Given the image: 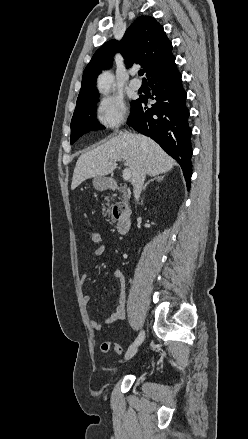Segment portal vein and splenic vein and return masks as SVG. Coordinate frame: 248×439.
<instances>
[{"mask_svg": "<svg viewBox=\"0 0 248 439\" xmlns=\"http://www.w3.org/2000/svg\"><path fill=\"white\" fill-rule=\"evenodd\" d=\"M126 165V168L123 170V179L124 180H129L130 179V177H131V170H130V168L129 167H127L128 165L127 164H125Z\"/></svg>", "mask_w": 248, "mask_h": 439, "instance_id": "18ae733b", "label": "portal vein and splenic vein"}]
</instances>
